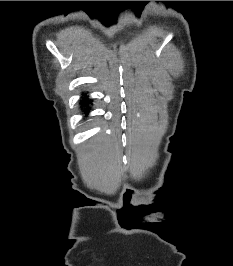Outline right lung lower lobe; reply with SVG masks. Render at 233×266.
Returning a JSON list of instances; mask_svg holds the SVG:
<instances>
[{
    "instance_id": "98d812e1",
    "label": "right lung lower lobe",
    "mask_w": 233,
    "mask_h": 266,
    "mask_svg": "<svg viewBox=\"0 0 233 266\" xmlns=\"http://www.w3.org/2000/svg\"><path fill=\"white\" fill-rule=\"evenodd\" d=\"M86 103H91V101H88V99L85 97L83 100H82V104L86 106L85 110L87 111V114H88V105Z\"/></svg>"
}]
</instances>
